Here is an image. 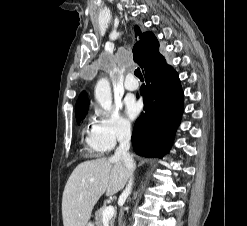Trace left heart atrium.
<instances>
[{
	"mask_svg": "<svg viewBox=\"0 0 247 226\" xmlns=\"http://www.w3.org/2000/svg\"><path fill=\"white\" fill-rule=\"evenodd\" d=\"M139 113V106L134 101L126 102V114L130 119H134Z\"/></svg>",
	"mask_w": 247,
	"mask_h": 226,
	"instance_id": "left-heart-atrium-1",
	"label": "left heart atrium"
}]
</instances>
